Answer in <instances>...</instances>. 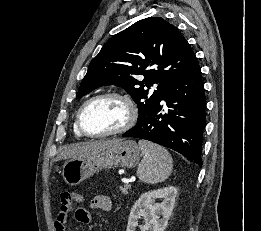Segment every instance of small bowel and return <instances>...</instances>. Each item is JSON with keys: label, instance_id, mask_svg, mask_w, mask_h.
<instances>
[{"label": "small bowel", "instance_id": "1", "mask_svg": "<svg viewBox=\"0 0 261 231\" xmlns=\"http://www.w3.org/2000/svg\"><path fill=\"white\" fill-rule=\"evenodd\" d=\"M79 199H82V196H78ZM94 209L109 211L111 209V200L109 197L104 195L95 196L88 207H80L75 211L76 220L82 225H88L91 222V211ZM67 216L61 213H58L54 226L56 231H65V223Z\"/></svg>", "mask_w": 261, "mask_h": 231}]
</instances>
